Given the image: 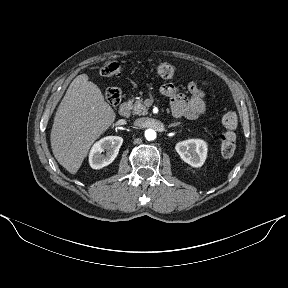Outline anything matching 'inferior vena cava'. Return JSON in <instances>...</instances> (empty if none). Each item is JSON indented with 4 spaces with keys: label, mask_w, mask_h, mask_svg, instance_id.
<instances>
[{
    "label": "inferior vena cava",
    "mask_w": 288,
    "mask_h": 288,
    "mask_svg": "<svg viewBox=\"0 0 288 288\" xmlns=\"http://www.w3.org/2000/svg\"><path fill=\"white\" fill-rule=\"evenodd\" d=\"M134 124L141 127H152L156 130H161L163 128V123L159 119L154 118L137 119Z\"/></svg>",
    "instance_id": "1"
}]
</instances>
